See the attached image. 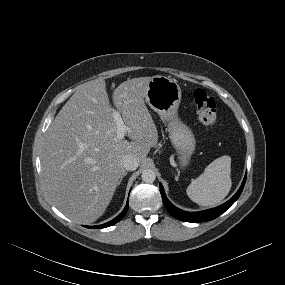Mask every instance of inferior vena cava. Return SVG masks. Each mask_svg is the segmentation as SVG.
Listing matches in <instances>:
<instances>
[{"instance_id":"obj_1","label":"inferior vena cava","mask_w":285,"mask_h":285,"mask_svg":"<svg viewBox=\"0 0 285 285\" xmlns=\"http://www.w3.org/2000/svg\"><path fill=\"white\" fill-rule=\"evenodd\" d=\"M121 165L124 169L128 170V171H134L137 169L139 163L138 160L136 159V157H134L131 154H127L124 155L121 158Z\"/></svg>"}]
</instances>
